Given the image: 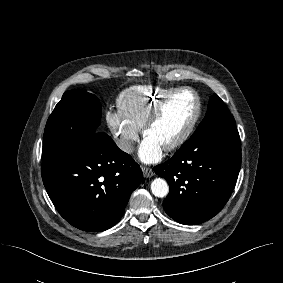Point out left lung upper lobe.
Wrapping results in <instances>:
<instances>
[{
    "instance_id": "5c2ea615",
    "label": "left lung upper lobe",
    "mask_w": 283,
    "mask_h": 283,
    "mask_svg": "<svg viewBox=\"0 0 283 283\" xmlns=\"http://www.w3.org/2000/svg\"><path fill=\"white\" fill-rule=\"evenodd\" d=\"M228 127H235V120L221 98L214 94L210 97L204 119L192 136Z\"/></svg>"
}]
</instances>
